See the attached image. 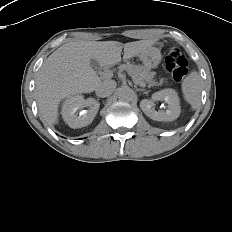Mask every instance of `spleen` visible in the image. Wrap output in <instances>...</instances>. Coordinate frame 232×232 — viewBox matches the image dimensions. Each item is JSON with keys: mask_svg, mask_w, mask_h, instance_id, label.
I'll use <instances>...</instances> for the list:
<instances>
[{"mask_svg": "<svg viewBox=\"0 0 232 232\" xmlns=\"http://www.w3.org/2000/svg\"><path fill=\"white\" fill-rule=\"evenodd\" d=\"M182 93L186 102L193 110L201 104L202 79L197 71H192L181 84Z\"/></svg>", "mask_w": 232, "mask_h": 232, "instance_id": "1", "label": "spleen"}]
</instances>
